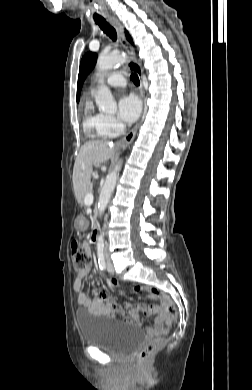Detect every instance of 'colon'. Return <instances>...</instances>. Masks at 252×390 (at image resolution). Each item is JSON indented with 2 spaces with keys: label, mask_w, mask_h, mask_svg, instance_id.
<instances>
[{
  "label": "colon",
  "mask_w": 252,
  "mask_h": 390,
  "mask_svg": "<svg viewBox=\"0 0 252 390\" xmlns=\"http://www.w3.org/2000/svg\"><path fill=\"white\" fill-rule=\"evenodd\" d=\"M71 259L73 269L75 272L80 273L88 268L91 264V255L84 249L77 241H73L71 245ZM114 284V283H113ZM116 285V284H114ZM139 290V288H135ZM149 295L153 298H158L163 301L165 309L172 320L177 318V309L173 301L163 292L156 288L148 289ZM163 345L162 338H156L153 341L145 344L139 351L138 359L140 362H148L151 357L157 352Z\"/></svg>",
  "instance_id": "obj_1"
}]
</instances>
